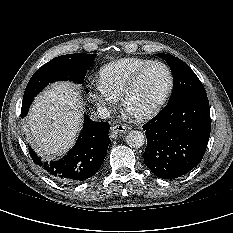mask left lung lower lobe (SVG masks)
Here are the masks:
<instances>
[{"instance_id": "0a47b994", "label": "left lung lower lobe", "mask_w": 233, "mask_h": 233, "mask_svg": "<svg viewBox=\"0 0 233 233\" xmlns=\"http://www.w3.org/2000/svg\"><path fill=\"white\" fill-rule=\"evenodd\" d=\"M147 147L145 165L159 178L174 179L198 165L207 147L211 120L207 96L168 102L143 125Z\"/></svg>"}]
</instances>
